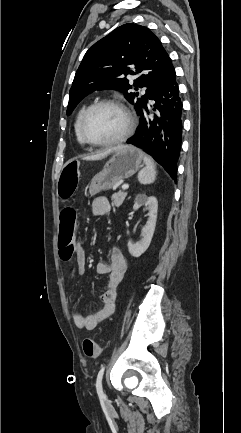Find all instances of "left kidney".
Here are the masks:
<instances>
[{
	"instance_id": "obj_1",
	"label": "left kidney",
	"mask_w": 241,
	"mask_h": 433,
	"mask_svg": "<svg viewBox=\"0 0 241 433\" xmlns=\"http://www.w3.org/2000/svg\"><path fill=\"white\" fill-rule=\"evenodd\" d=\"M142 206L149 210L147 223L142 228V238L136 243L128 241V251L136 258L140 257L148 249L151 243L157 220V199L153 196L148 197L144 194H140L135 199L133 209L138 210Z\"/></svg>"
}]
</instances>
